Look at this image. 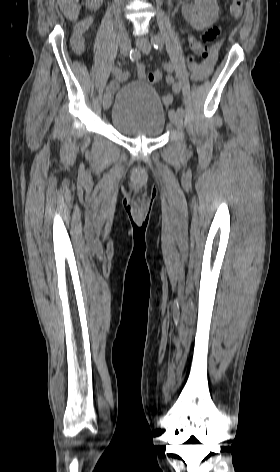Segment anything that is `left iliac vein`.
<instances>
[{"instance_id": "1", "label": "left iliac vein", "mask_w": 280, "mask_h": 472, "mask_svg": "<svg viewBox=\"0 0 280 472\" xmlns=\"http://www.w3.org/2000/svg\"><path fill=\"white\" fill-rule=\"evenodd\" d=\"M136 45L143 53H150L151 44L148 39L139 37L136 39ZM169 117L171 122L177 127V129L181 130L183 125L182 115L175 110H171L169 112Z\"/></svg>"}]
</instances>
